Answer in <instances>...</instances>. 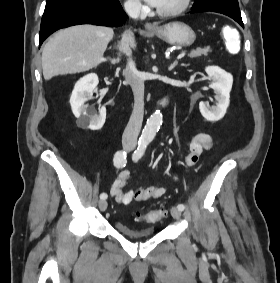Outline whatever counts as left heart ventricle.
<instances>
[{
  "label": "left heart ventricle",
  "instance_id": "1",
  "mask_svg": "<svg viewBox=\"0 0 280 283\" xmlns=\"http://www.w3.org/2000/svg\"><path fill=\"white\" fill-rule=\"evenodd\" d=\"M180 2L181 0H161V3L157 8L161 10L172 9L176 7Z\"/></svg>",
  "mask_w": 280,
  "mask_h": 283
}]
</instances>
